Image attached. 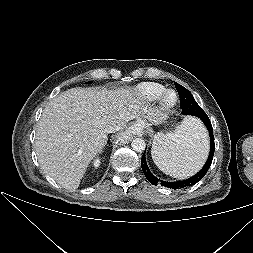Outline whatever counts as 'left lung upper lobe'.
Segmentation results:
<instances>
[{
	"mask_svg": "<svg viewBox=\"0 0 253 253\" xmlns=\"http://www.w3.org/2000/svg\"><path fill=\"white\" fill-rule=\"evenodd\" d=\"M174 84L179 93L182 114L195 116L196 112L202 108L197 104L192 94L185 87L176 82Z\"/></svg>",
	"mask_w": 253,
	"mask_h": 253,
	"instance_id": "1",
	"label": "left lung upper lobe"
}]
</instances>
